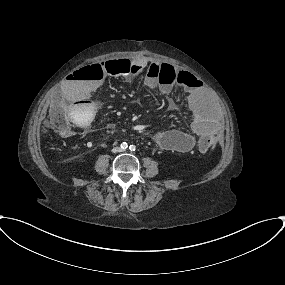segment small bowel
<instances>
[{
  "label": "small bowel",
  "mask_w": 285,
  "mask_h": 285,
  "mask_svg": "<svg viewBox=\"0 0 285 285\" xmlns=\"http://www.w3.org/2000/svg\"><path fill=\"white\" fill-rule=\"evenodd\" d=\"M137 67V72L150 70L157 65L155 61L140 59L133 62ZM183 86L186 95V107L190 113V131L180 129L163 130L154 133L153 140L161 148L166 150H176L180 152L188 151L194 146L200 149L201 138L206 134L217 135L219 133V124L216 119L208 114L203 98V89L198 87L196 77L183 71ZM144 84L149 89L159 88L163 93H170L173 88L167 85H160L154 76H147ZM100 81L87 80L81 81L72 74L66 78L61 88L63 99L72 103V110L86 119L92 109L90 102L91 95L99 88ZM78 124V119L74 117ZM69 134H62L67 137ZM195 135L197 139L193 137Z\"/></svg>",
  "instance_id": "c3829d8e"
}]
</instances>
